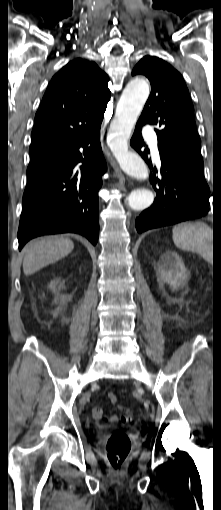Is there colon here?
Returning a JSON list of instances; mask_svg holds the SVG:
<instances>
[{"mask_svg":"<svg viewBox=\"0 0 221 510\" xmlns=\"http://www.w3.org/2000/svg\"><path fill=\"white\" fill-rule=\"evenodd\" d=\"M109 400L116 403L117 398L115 394H109ZM121 422L126 424L131 422L132 415L125 413L120 418ZM131 449V442L128 435L122 431L117 430L108 438L106 442V456L110 466L115 474L122 472L123 464Z\"/></svg>","mask_w":221,"mask_h":510,"instance_id":"5ec220e1","label":"colon"}]
</instances>
